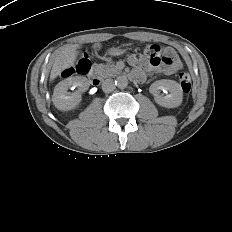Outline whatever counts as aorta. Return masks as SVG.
Segmentation results:
<instances>
[{
    "mask_svg": "<svg viewBox=\"0 0 232 232\" xmlns=\"http://www.w3.org/2000/svg\"><path fill=\"white\" fill-rule=\"evenodd\" d=\"M115 84L118 88L120 89H124L128 86V79L126 76H119L116 80H115Z\"/></svg>",
    "mask_w": 232,
    "mask_h": 232,
    "instance_id": "1",
    "label": "aorta"
}]
</instances>
